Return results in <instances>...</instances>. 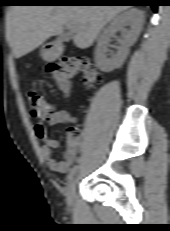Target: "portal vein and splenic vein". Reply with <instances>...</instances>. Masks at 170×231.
<instances>
[{"label":"portal vein and splenic vein","instance_id":"18ae733b","mask_svg":"<svg viewBox=\"0 0 170 231\" xmlns=\"http://www.w3.org/2000/svg\"><path fill=\"white\" fill-rule=\"evenodd\" d=\"M67 28L71 31V32H74L75 30L72 28V27H70L69 25H67Z\"/></svg>","mask_w":170,"mask_h":231}]
</instances>
